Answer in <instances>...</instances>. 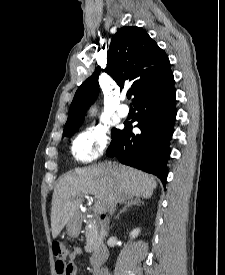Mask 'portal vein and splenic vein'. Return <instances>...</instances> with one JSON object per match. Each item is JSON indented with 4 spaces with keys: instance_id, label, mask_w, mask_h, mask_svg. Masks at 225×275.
I'll return each instance as SVG.
<instances>
[{
    "instance_id": "18ae733b",
    "label": "portal vein and splenic vein",
    "mask_w": 225,
    "mask_h": 275,
    "mask_svg": "<svg viewBox=\"0 0 225 275\" xmlns=\"http://www.w3.org/2000/svg\"><path fill=\"white\" fill-rule=\"evenodd\" d=\"M95 206H96V208H102L101 204H96Z\"/></svg>"
}]
</instances>
